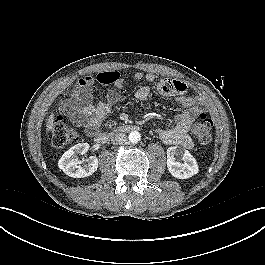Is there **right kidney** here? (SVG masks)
Here are the masks:
<instances>
[{"instance_id": "1", "label": "right kidney", "mask_w": 265, "mask_h": 265, "mask_svg": "<svg viewBox=\"0 0 265 265\" xmlns=\"http://www.w3.org/2000/svg\"><path fill=\"white\" fill-rule=\"evenodd\" d=\"M88 143H79L67 150L58 162V166L63 172L73 178H84L92 175L98 168V159L95 156L89 157L87 163L81 166L82 160L75 158L78 154L88 152Z\"/></svg>"}]
</instances>
